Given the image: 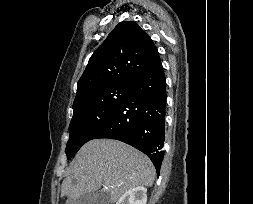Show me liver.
<instances>
[{"instance_id": "6515ba94", "label": "liver", "mask_w": 253, "mask_h": 204, "mask_svg": "<svg viewBox=\"0 0 253 204\" xmlns=\"http://www.w3.org/2000/svg\"><path fill=\"white\" fill-rule=\"evenodd\" d=\"M154 180L155 168L146 155L120 141L95 139L83 145L71 162L61 196L68 198L66 204H77L81 195L104 185L108 203H114L132 188L151 187Z\"/></svg>"}]
</instances>
